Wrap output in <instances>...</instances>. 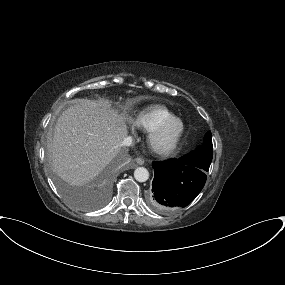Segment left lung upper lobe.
<instances>
[{"label": "left lung upper lobe", "mask_w": 285, "mask_h": 285, "mask_svg": "<svg viewBox=\"0 0 285 285\" xmlns=\"http://www.w3.org/2000/svg\"><path fill=\"white\" fill-rule=\"evenodd\" d=\"M213 157V146L211 132H207L204 136L203 143L197 149L179 158V161L196 166L205 171H209V167Z\"/></svg>", "instance_id": "left-lung-upper-lobe-1"}]
</instances>
